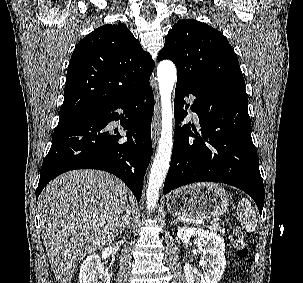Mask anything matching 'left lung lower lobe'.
Returning a JSON list of instances; mask_svg holds the SVG:
<instances>
[{"mask_svg": "<svg viewBox=\"0 0 303 283\" xmlns=\"http://www.w3.org/2000/svg\"><path fill=\"white\" fill-rule=\"evenodd\" d=\"M189 95L194 96L191 110L199 117L201 136L192 133L190 123L176 127L163 194L195 182L226 183L250 195L261 214L264 185L251 138L248 98L229 91L194 87L177 80V123L187 115L183 107L184 97Z\"/></svg>", "mask_w": 303, "mask_h": 283, "instance_id": "0a47b994", "label": "left lung lower lobe"}]
</instances>
